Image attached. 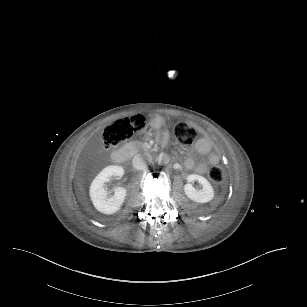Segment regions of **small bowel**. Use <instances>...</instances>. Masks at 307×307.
I'll return each instance as SVG.
<instances>
[{
    "mask_svg": "<svg viewBox=\"0 0 307 307\" xmlns=\"http://www.w3.org/2000/svg\"><path fill=\"white\" fill-rule=\"evenodd\" d=\"M194 151L203 156L204 159L196 162L193 158H188L185 161V166L189 170H194L198 174H204L210 165L219 163L220 157L212 150V143L206 137H202L196 142Z\"/></svg>",
    "mask_w": 307,
    "mask_h": 307,
    "instance_id": "small-bowel-1",
    "label": "small bowel"
}]
</instances>
